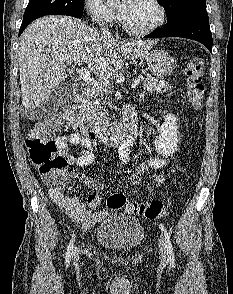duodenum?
Masks as SVG:
<instances>
[{"mask_svg":"<svg viewBox=\"0 0 233 294\" xmlns=\"http://www.w3.org/2000/svg\"><path fill=\"white\" fill-rule=\"evenodd\" d=\"M64 117L72 124L77 133L83 135L91 142L118 146L121 144L131 143L135 140L138 134L137 117L132 108L127 109L120 124L111 130H104L100 128L88 129L85 126L84 119L77 106L74 104L66 108Z\"/></svg>","mask_w":233,"mask_h":294,"instance_id":"410a0bca","label":"duodenum"}]
</instances>
